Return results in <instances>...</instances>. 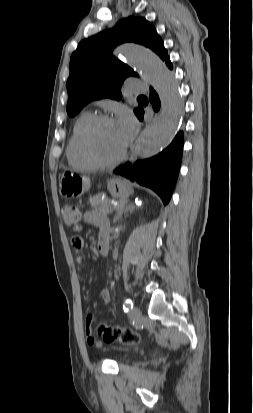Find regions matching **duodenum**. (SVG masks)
<instances>
[{
  "instance_id": "410a0bca",
  "label": "duodenum",
  "mask_w": 253,
  "mask_h": 413,
  "mask_svg": "<svg viewBox=\"0 0 253 413\" xmlns=\"http://www.w3.org/2000/svg\"><path fill=\"white\" fill-rule=\"evenodd\" d=\"M109 233L108 232H102L100 233L98 243H97V250L101 255H107L109 251Z\"/></svg>"
}]
</instances>
